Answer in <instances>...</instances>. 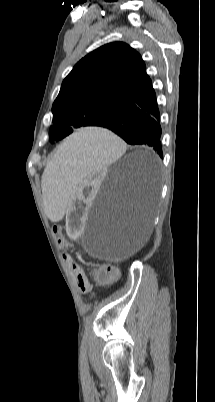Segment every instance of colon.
Returning <instances> with one entry per match:
<instances>
[{"mask_svg": "<svg viewBox=\"0 0 215 402\" xmlns=\"http://www.w3.org/2000/svg\"><path fill=\"white\" fill-rule=\"evenodd\" d=\"M62 225L60 223H55L53 227L54 232V244L59 246H64L66 253L71 254L73 251H77V248H74L73 244H70V241L64 236V234L60 231ZM71 268L77 273L82 274V267L75 261H69ZM118 277V270L115 266L112 265H104L99 267L96 270V278L99 282H109Z\"/></svg>", "mask_w": 215, "mask_h": 402, "instance_id": "colon-1", "label": "colon"}]
</instances>
